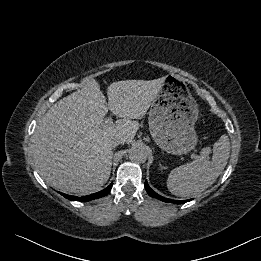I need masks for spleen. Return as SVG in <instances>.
<instances>
[{
  "mask_svg": "<svg viewBox=\"0 0 261 261\" xmlns=\"http://www.w3.org/2000/svg\"><path fill=\"white\" fill-rule=\"evenodd\" d=\"M211 152L212 159L209 160ZM229 154V137L222 135L212 149L204 148L198 159L171 170L167 178L168 190L173 195L189 197L207 189L224 170Z\"/></svg>",
  "mask_w": 261,
  "mask_h": 261,
  "instance_id": "spleen-1",
  "label": "spleen"
}]
</instances>
